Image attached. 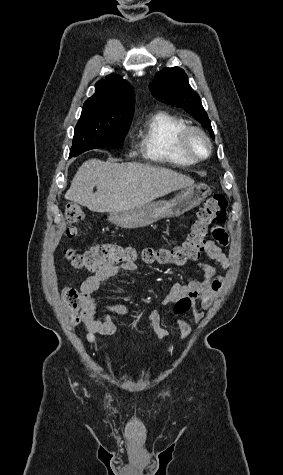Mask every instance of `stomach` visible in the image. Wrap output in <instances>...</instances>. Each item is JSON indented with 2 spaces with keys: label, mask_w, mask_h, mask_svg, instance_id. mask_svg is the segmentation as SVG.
<instances>
[{
  "label": "stomach",
  "mask_w": 283,
  "mask_h": 475,
  "mask_svg": "<svg viewBox=\"0 0 283 475\" xmlns=\"http://www.w3.org/2000/svg\"><path fill=\"white\" fill-rule=\"evenodd\" d=\"M211 190L206 184H194L189 188H184L172 200H159L152 204H145L141 208L134 210H122V212H110L109 222L116 224L119 228H142L149 226L161 218H176L185 214L188 210H193L200 206L201 202L210 196Z\"/></svg>",
  "instance_id": "1"
}]
</instances>
